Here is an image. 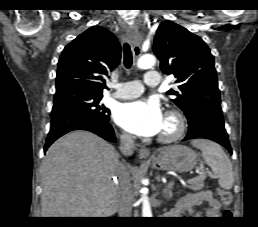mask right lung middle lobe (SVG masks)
<instances>
[{"label":"right lung middle lobe","mask_w":258,"mask_h":227,"mask_svg":"<svg viewBox=\"0 0 258 227\" xmlns=\"http://www.w3.org/2000/svg\"><path fill=\"white\" fill-rule=\"evenodd\" d=\"M102 94L82 90H67L56 93L52 112L70 110L93 117L98 121L108 122L110 111L99 102Z\"/></svg>","instance_id":"dd1d6c3e"}]
</instances>
